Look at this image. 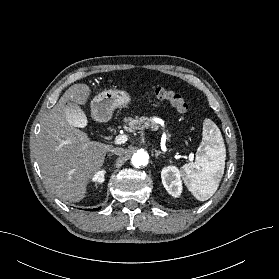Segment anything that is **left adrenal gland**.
<instances>
[{
    "mask_svg": "<svg viewBox=\"0 0 279 279\" xmlns=\"http://www.w3.org/2000/svg\"><path fill=\"white\" fill-rule=\"evenodd\" d=\"M164 153H162L161 151L155 150V157L158 158L159 155H162Z\"/></svg>",
    "mask_w": 279,
    "mask_h": 279,
    "instance_id": "obj_1",
    "label": "left adrenal gland"
}]
</instances>
